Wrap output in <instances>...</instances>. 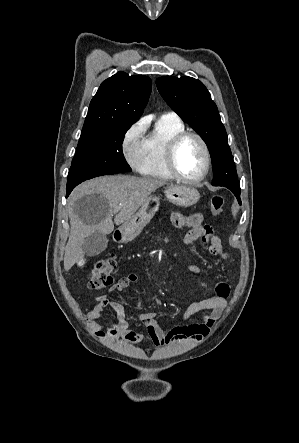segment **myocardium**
Wrapping results in <instances>:
<instances>
[{
  "label": "myocardium",
  "mask_w": 299,
  "mask_h": 443,
  "mask_svg": "<svg viewBox=\"0 0 299 443\" xmlns=\"http://www.w3.org/2000/svg\"><path fill=\"white\" fill-rule=\"evenodd\" d=\"M189 137H193L195 139H197L199 141V143L202 146L203 152H204V169L202 171V173L197 176V177H186L185 175H183L177 165V159H176V155H177V150L179 148V146L181 145V143L189 138ZM165 159H166V165L167 168L169 170V172L171 173V175L173 177H175L176 179L185 182V183H189V184H195V183H199L201 181H203L209 171H210V167H211V154H210V150L209 147L206 143V141L204 140V138L193 131H182L180 133H178L177 135H175L171 141L169 142L167 148H166V153H165Z\"/></svg>",
  "instance_id": "obj_1"
}]
</instances>
